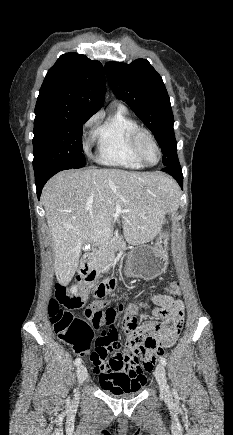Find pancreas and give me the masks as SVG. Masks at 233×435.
<instances>
[{
  "label": "pancreas",
  "instance_id": "pancreas-1",
  "mask_svg": "<svg viewBox=\"0 0 233 435\" xmlns=\"http://www.w3.org/2000/svg\"><path fill=\"white\" fill-rule=\"evenodd\" d=\"M122 247L121 236L116 234L109 240L95 257V266L101 271H108L116 258V252Z\"/></svg>",
  "mask_w": 233,
  "mask_h": 435
}]
</instances>
